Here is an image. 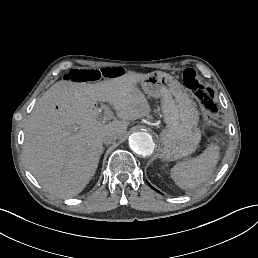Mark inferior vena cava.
<instances>
[{
	"mask_svg": "<svg viewBox=\"0 0 258 258\" xmlns=\"http://www.w3.org/2000/svg\"><path fill=\"white\" fill-rule=\"evenodd\" d=\"M120 135L113 130H107L103 133L101 140L104 144H109L118 139Z\"/></svg>",
	"mask_w": 258,
	"mask_h": 258,
	"instance_id": "602c4592",
	"label": "inferior vena cava"
}]
</instances>
